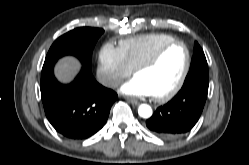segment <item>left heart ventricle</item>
<instances>
[{
	"mask_svg": "<svg viewBox=\"0 0 249 165\" xmlns=\"http://www.w3.org/2000/svg\"><path fill=\"white\" fill-rule=\"evenodd\" d=\"M186 62L183 46L169 48L152 67L136 74L150 89L152 95H162L170 91L179 80Z\"/></svg>",
	"mask_w": 249,
	"mask_h": 165,
	"instance_id": "obj_1",
	"label": "left heart ventricle"
}]
</instances>
